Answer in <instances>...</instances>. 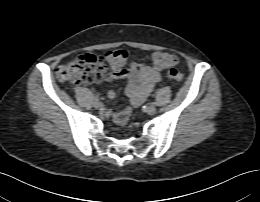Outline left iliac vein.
<instances>
[{"mask_svg":"<svg viewBox=\"0 0 260 202\" xmlns=\"http://www.w3.org/2000/svg\"><path fill=\"white\" fill-rule=\"evenodd\" d=\"M146 113L149 115H153L156 113V107L154 105H148L146 107Z\"/></svg>","mask_w":260,"mask_h":202,"instance_id":"1","label":"left iliac vein"}]
</instances>
